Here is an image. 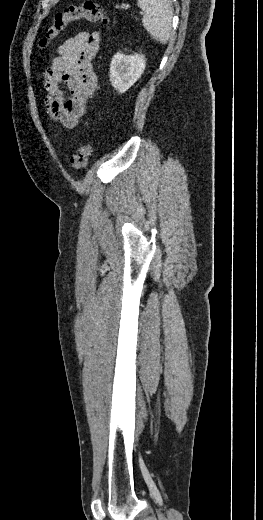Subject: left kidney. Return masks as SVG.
Returning <instances> with one entry per match:
<instances>
[{
	"mask_svg": "<svg viewBox=\"0 0 263 520\" xmlns=\"http://www.w3.org/2000/svg\"><path fill=\"white\" fill-rule=\"evenodd\" d=\"M146 60L142 54L117 53L110 64L111 85L119 93L126 92L143 74Z\"/></svg>",
	"mask_w": 263,
	"mask_h": 520,
	"instance_id": "1",
	"label": "left kidney"
}]
</instances>
